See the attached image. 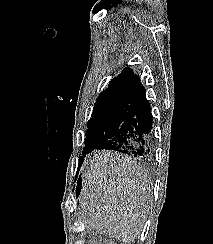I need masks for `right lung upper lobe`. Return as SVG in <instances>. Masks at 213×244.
Returning <instances> with one entry per match:
<instances>
[{"mask_svg":"<svg viewBox=\"0 0 213 244\" xmlns=\"http://www.w3.org/2000/svg\"><path fill=\"white\" fill-rule=\"evenodd\" d=\"M143 89L145 88L140 82V77L134 74L132 69L125 68L110 81L109 87L98 96L97 100L122 95L137 97Z\"/></svg>","mask_w":213,"mask_h":244,"instance_id":"right-lung-upper-lobe-1","label":"right lung upper lobe"}]
</instances>
